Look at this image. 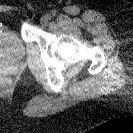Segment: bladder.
<instances>
[{
	"label": "bladder",
	"mask_w": 133,
	"mask_h": 133,
	"mask_svg": "<svg viewBox=\"0 0 133 133\" xmlns=\"http://www.w3.org/2000/svg\"><path fill=\"white\" fill-rule=\"evenodd\" d=\"M25 54V44L12 27L0 24V59L15 61Z\"/></svg>",
	"instance_id": "bladder-1"
}]
</instances>
